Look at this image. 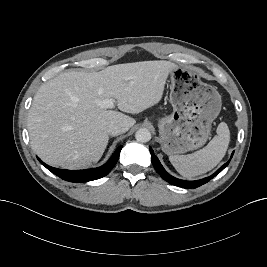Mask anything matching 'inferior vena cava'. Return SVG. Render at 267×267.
Returning <instances> with one entry per match:
<instances>
[{
	"label": "inferior vena cava",
	"mask_w": 267,
	"mask_h": 267,
	"mask_svg": "<svg viewBox=\"0 0 267 267\" xmlns=\"http://www.w3.org/2000/svg\"><path fill=\"white\" fill-rule=\"evenodd\" d=\"M106 131L109 135L115 136L124 132V128L118 123H110L106 127Z\"/></svg>",
	"instance_id": "obj_1"
}]
</instances>
